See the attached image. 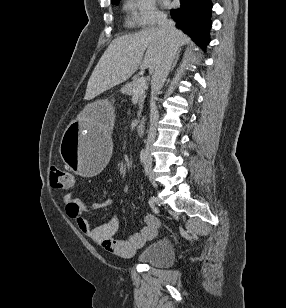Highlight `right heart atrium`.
I'll return each mask as SVG.
<instances>
[{
  "mask_svg": "<svg viewBox=\"0 0 286 308\" xmlns=\"http://www.w3.org/2000/svg\"><path fill=\"white\" fill-rule=\"evenodd\" d=\"M125 11L131 23L139 28H150L164 19L155 0H125Z\"/></svg>",
  "mask_w": 286,
  "mask_h": 308,
  "instance_id": "1",
  "label": "right heart atrium"
}]
</instances>
